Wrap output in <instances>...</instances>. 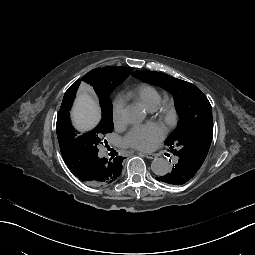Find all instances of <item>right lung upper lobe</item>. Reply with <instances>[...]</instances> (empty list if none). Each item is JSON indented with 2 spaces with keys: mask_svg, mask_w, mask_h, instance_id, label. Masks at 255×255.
<instances>
[{
  "mask_svg": "<svg viewBox=\"0 0 255 255\" xmlns=\"http://www.w3.org/2000/svg\"><path fill=\"white\" fill-rule=\"evenodd\" d=\"M130 70H133V68L103 67L96 68L88 72L81 80L76 81L66 91L58 113L57 123L69 113L81 81L84 82V84H82L83 89H86L89 92H92L94 89L95 93L98 95L109 90H114L115 87H117L130 75L129 74L126 77ZM86 84L88 86H86ZM112 130L113 127L103 129L92 137L88 141L90 143V152L88 154L75 153L73 151V143H59L62 157L66 165L74 176L78 177L82 182L94 186H105L111 184L120 176L122 171L121 164L124 158L121 156H117L115 158L102 157L101 153H98L99 150L97 148L102 136L106 133L112 132ZM93 159H96L98 161V165L100 166V180L98 182H91L89 177L87 179H82L80 177L81 166L86 164L89 172V166L91 165V161Z\"/></svg>",
  "mask_w": 255,
  "mask_h": 255,
  "instance_id": "right-lung-upper-lobe-1",
  "label": "right lung upper lobe"
}]
</instances>
